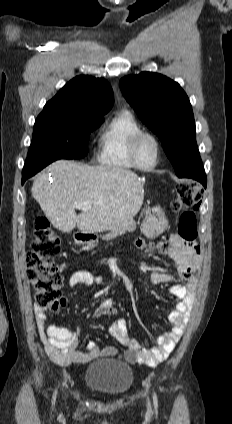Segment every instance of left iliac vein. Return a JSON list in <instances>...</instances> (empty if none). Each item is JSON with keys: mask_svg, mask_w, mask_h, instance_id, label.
Masks as SVG:
<instances>
[{"mask_svg": "<svg viewBox=\"0 0 232 424\" xmlns=\"http://www.w3.org/2000/svg\"><path fill=\"white\" fill-rule=\"evenodd\" d=\"M148 410H150V405L148 404Z\"/></svg>", "mask_w": 232, "mask_h": 424, "instance_id": "4c4485c4", "label": "left iliac vein"}]
</instances>
